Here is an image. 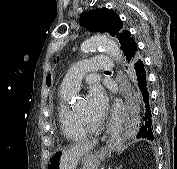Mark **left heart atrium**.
Masks as SVG:
<instances>
[{
  "instance_id": "left-heart-atrium-1",
  "label": "left heart atrium",
  "mask_w": 177,
  "mask_h": 169,
  "mask_svg": "<svg viewBox=\"0 0 177 169\" xmlns=\"http://www.w3.org/2000/svg\"><path fill=\"white\" fill-rule=\"evenodd\" d=\"M87 98L93 109L104 113L107 106V99L106 94L100 85L96 83L91 84L88 90Z\"/></svg>"
}]
</instances>
